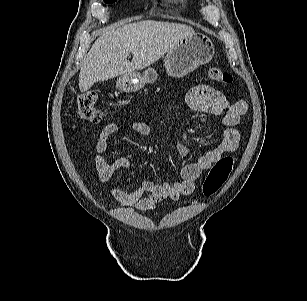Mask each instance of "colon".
Returning a JSON list of instances; mask_svg holds the SVG:
<instances>
[{
    "label": "colon",
    "instance_id": "obj_1",
    "mask_svg": "<svg viewBox=\"0 0 307 301\" xmlns=\"http://www.w3.org/2000/svg\"><path fill=\"white\" fill-rule=\"evenodd\" d=\"M211 80L218 84L227 85L232 82V76L224 69L212 66L209 69ZM98 95L95 91H86L79 95L77 100L78 114L81 119L88 122L103 120L104 113L97 105ZM234 165L231 156H223L217 160L203 182V193L207 197L215 195L228 179Z\"/></svg>",
    "mask_w": 307,
    "mask_h": 301
}]
</instances>
